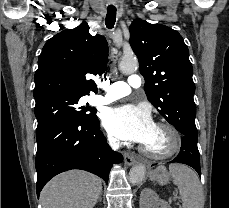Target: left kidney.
I'll use <instances>...</instances> for the list:
<instances>
[{"instance_id":"1","label":"left kidney","mask_w":229,"mask_h":208,"mask_svg":"<svg viewBox=\"0 0 229 208\" xmlns=\"http://www.w3.org/2000/svg\"><path fill=\"white\" fill-rule=\"evenodd\" d=\"M139 204L140 208H157V206H160V208H170L167 202H164V200H160L157 194H155L153 190H149V188H145V190H142L140 194Z\"/></svg>"}]
</instances>
